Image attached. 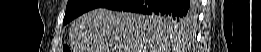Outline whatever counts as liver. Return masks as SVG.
I'll list each match as a JSON object with an SVG mask.
<instances>
[{"label": "liver", "mask_w": 261, "mask_h": 52, "mask_svg": "<svg viewBox=\"0 0 261 52\" xmlns=\"http://www.w3.org/2000/svg\"><path fill=\"white\" fill-rule=\"evenodd\" d=\"M177 34L160 16L105 8L78 17L69 31L76 52H179Z\"/></svg>", "instance_id": "6515ba94"}]
</instances>
